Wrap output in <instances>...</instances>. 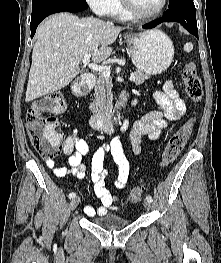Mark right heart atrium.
<instances>
[{
	"label": "right heart atrium",
	"mask_w": 221,
	"mask_h": 263,
	"mask_svg": "<svg viewBox=\"0 0 221 263\" xmlns=\"http://www.w3.org/2000/svg\"><path fill=\"white\" fill-rule=\"evenodd\" d=\"M117 0H86L88 6L98 15L106 16L112 13Z\"/></svg>",
	"instance_id": "1"
}]
</instances>
